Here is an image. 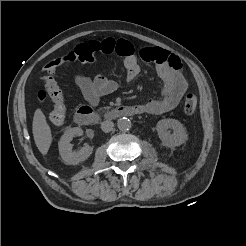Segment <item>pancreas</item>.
<instances>
[{
    "label": "pancreas",
    "mask_w": 246,
    "mask_h": 246,
    "mask_svg": "<svg viewBox=\"0 0 246 246\" xmlns=\"http://www.w3.org/2000/svg\"><path fill=\"white\" fill-rule=\"evenodd\" d=\"M102 109H109V107H103V108H100V110H102Z\"/></svg>",
    "instance_id": "cf45deb5"
}]
</instances>
